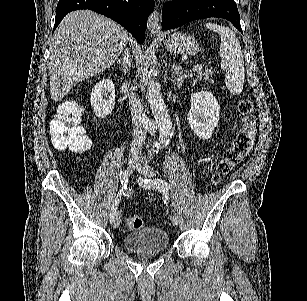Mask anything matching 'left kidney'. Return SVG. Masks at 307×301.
I'll return each mask as SVG.
<instances>
[{
    "mask_svg": "<svg viewBox=\"0 0 307 301\" xmlns=\"http://www.w3.org/2000/svg\"><path fill=\"white\" fill-rule=\"evenodd\" d=\"M191 108L187 120L199 138H210L219 122L220 106L208 90L194 92L191 98Z\"/></svg>",
    "mask_w": 307,
    "mask_h": 301,
    "instance_id": "obj_1",
    "label": "left kidney"
}]
</instances>
